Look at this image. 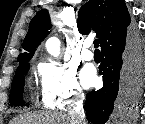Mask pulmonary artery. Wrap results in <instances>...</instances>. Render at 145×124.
Segmentation results:
<instances>
[{"label":"pulmonary artery","mask_w":145,"mask_h":124,"mask_svg":"<svg viewBox=\"0 0 145 124\" xmlns=\"http://www.w3.org/2000/svg\"><path fill=\"white\" fill-rule=\"evenodd\" d=\"M91 43L90 41L84 42V50L82 52V58L86 61H90L94 58L93 52L89 49Z\"/></svg>","instance_id":"obj_1"}]
</instances>
